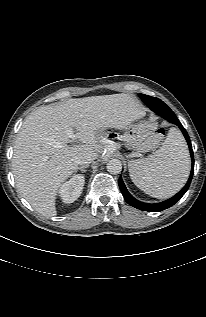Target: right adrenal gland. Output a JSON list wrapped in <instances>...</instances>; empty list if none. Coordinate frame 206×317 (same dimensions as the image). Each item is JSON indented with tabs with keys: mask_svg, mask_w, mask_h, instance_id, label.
Returning <instances> with one entry per match:
<instances>
[{
	"mask_svg": "<svg viewBox=\"0 0 206 317\" xmlns=\"http://www.w3.org/2000/svg\"><path fill=\"white\" fill-rule=\"evenodd\" d=\"M88 167L89 165H83L81 167H78L77 170H80L81 172L85 173L86 172L85 168H88Z\"/></svg>",
	"mask_w": 206,
	"mask_h": 317,
	"instance_id": "1",
	"label": "right adrenal gland"
}]
</instances>
